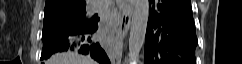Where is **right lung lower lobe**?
I'll return each mask as SVG.
<instances>
[{
    "label": "right lung lower lobe",
    "instance_id": "98d812e1",
    "mask_svg": "<svg viewBox=\"0 0 242 64\" xmlns=\"http://www.w3.org/2000/svg\"><path fill=\"white\" fill-rule=\"evenodd\" d=\"M97 28L98 24L89 29L74 31L50 40L42 49L41 60H45L57 52L69 50L90 55L100 64H110L105 51L98 42L93 40V34Z\"/></svg>",
    "mask_w": 242,
    "mask_h": 64
}]
</instances>
